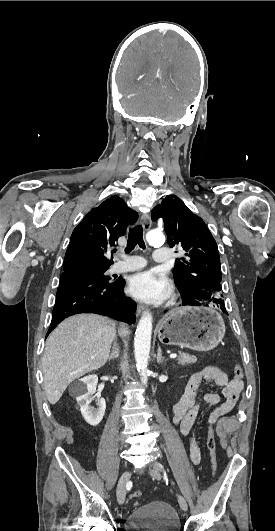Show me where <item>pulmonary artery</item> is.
I'll list each match as a JSON object with an SVG mask.
<instances>
[{
  "label": "pulmonary artery",
  "instance_id": "e3ab8cb5",
  "mask_svg": "<svg viewBox=\"0 0 275 531\" xmlns=\"http://www.w3.org/2000/svg\"><path fill=\"white\" fill-rule=\"evenodd\" d=\"M116 256L118 260L109 269L111 274L135 270L144 265L141 257L128 256L122 248H119L116 251ZM152 256L155 265H166L169 253L165 249L155 250L153 251Z\"/></svg>",
  "mask_w": 275,
  "mask_h": 531
}]
</instances>
